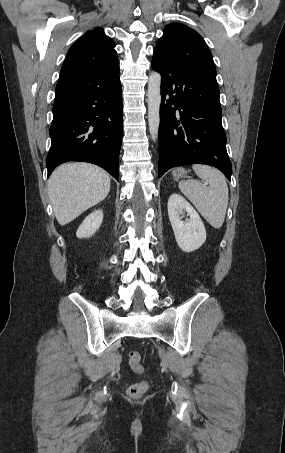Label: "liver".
<instances>
[{
    "instance_id": "6515ba94",
    "label": "liver",
    "mask_w": 285,
    "mask_h": 453,
    "mask_svg": "<svg viewBox=\"0 0 285 453\" xmlns=\"http://www.w3.org/2000/svg\"><path fill=\"white\" fill-rule=\"evenodd\" d=\"M110 175L88 163H67L57 167L48 180V193L60 225H66L105 199Z\"/></svg>"
}]
</instances>
